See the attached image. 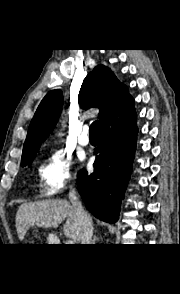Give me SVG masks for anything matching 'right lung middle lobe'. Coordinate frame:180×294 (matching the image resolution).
Masks as SVG:
<instances>
[{
    "instance_id": "obj_1",
    "label": "right lung middle lobe",
    "mask_w": 180,
    "mask_h": 294,
    "mask_svg": "<svg viewBox=\"0 0 180 294\" xmlns=\"http://www.w3.org/2000/svg\"><path fill=\"white\" fill-rule=\"evenodd\" d=\"M34 157H35V156H32V157H30V158H28V159H26V160H23V161L21 162V166L24 167V166H26V165H29V164L33 161Z\"/></svg>"
}]
</instances>
